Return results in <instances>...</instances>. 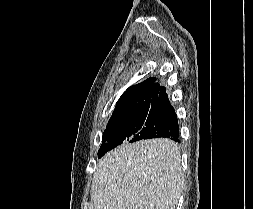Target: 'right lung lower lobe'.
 <instances>
[{"instance_id": "obj_1", "label": "right lung lower lobe", "mask_w": 253, "mask_h": 209, "mask_svg": "<svg viewBox=\"0 0 253 209\" xmlns=\"http://www.w3.org/2000/svg\"><path fill=\"white\" fill-rule=\"evenodd\" d=\"M151 109L159 111L158 119L152 129L141 135L142 139L165 137L180 142L178 119L168 95L165 94L161 99L155 101Z\"/></svg>"}]
</instances>
